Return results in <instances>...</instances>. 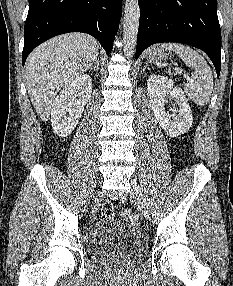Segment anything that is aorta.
I'll return each instance as SVG.
<instances>
[{
	"mask_svg": "<svg viewBox=\"0 0 233 286\" xmlns=\"http://www.w3.org/2000/svg\"><path fill=\"white\" fill-rule=\"evenodd\" d=\"M139 19L140 7L138 0H126L123 22V45L125 54L129 56L135 52Z\"/></svg>",
	"mask_w": 233,
	"mask_h": 286,
	"instance_id": "762f6f07",
	"label": "aorta"
}]
</instances>
